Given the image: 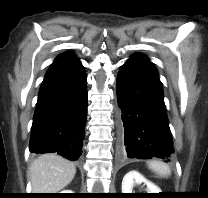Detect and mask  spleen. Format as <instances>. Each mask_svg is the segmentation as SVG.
<instances>
[{
	"label": "spleen",
	"mask_w": 208,
	"mask_h": 198,
	"mask_svg": "<svg viewBox=\"0 0 208 198\" xmlns=\"http://www.w3.org/2000/svg\"><path fill=\"white\" fill-rule=\"evenodd\" d=\"M148 167L160 177H168L171 175L170 167L162 161H149Z\"/></svg>",
	"instance_id": "obj_1"
}]
</instances>
